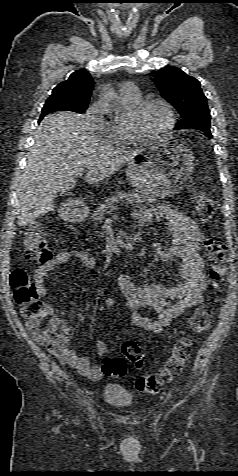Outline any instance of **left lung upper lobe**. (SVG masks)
Returning <instances> with one entry per match:
<instances>
[{"instance_id": "5c2ea615", "label": "left lung upper lobe", "mask_w": 238, "mask_h": 476, "mask_svg": "<svg viewBox=\"0 0 238 476\" xmlns=\"http://www.w3.org/2000/svg\"><path fill=\"white\" fill-rule=\"evenodd\" d=\"M150 75L162 97L171 103L181 116L175 130L210 128L211 115L207 98L197 79L174 66L162 68Z\"/></svg>"}]
</instances>
